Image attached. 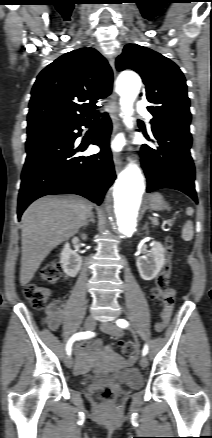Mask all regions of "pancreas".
Masks as SVG:
<instances>
[{
  "instance_id": "cf45deb5",
  "label": "pancreas",
  "mask_w": 212,
  "mask_h": 438,
  "mask_svg": "<svg viewBox=\"0 0 212 438\" xmlns=\"http://www.w3.org/2000/svg\"><path fill=\"white\" fill-rule=\"evenodd\" d=\"M153 223H154V225H156V224H157V220L154 219V220H153Z\"/></svg>"
}]
</instances>
